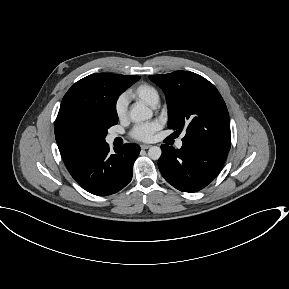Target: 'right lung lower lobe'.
Listing matches in <instances>:
<instances>
[{"instance_id":"1","label":"right lung lower lobe","mask_w":289,"mask_h":289,"mask_svg":"<svg viewBox=\"0 0 289 289\" xmlns=\"http://www.w3.org/2000/svg\"><path fill=\"white\" fill-rule=\"evenodd\" d=\"M106 143L87 153L71 168L74 180L86 191L99 196L111 195L124 188L132 179L133 164L140 153L137 144L129 143L111 154Z\"/></svg>"}]
</instances>
